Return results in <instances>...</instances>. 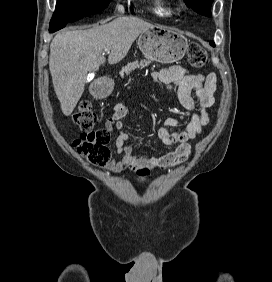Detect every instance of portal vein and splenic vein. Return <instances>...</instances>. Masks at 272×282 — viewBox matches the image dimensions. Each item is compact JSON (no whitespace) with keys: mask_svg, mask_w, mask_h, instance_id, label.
I'll use <instances>...</instances> for the list:
<instances>
[{"mask_svg":"<svg viewBox=\"0 0 272 282\" xmlns=\"http://www.w3.org/2000/svg\"><path fill=\"white\" fill-rule=\"evenodd\" d=\"M104 52L107 54V53L110 52V49H109V48H105V49H104Z\"/></svg>","mask_w":272,"mask_h":282,"instance_id":"18ae733b","label":"portal vein and splenic vein"}]
</instances>
